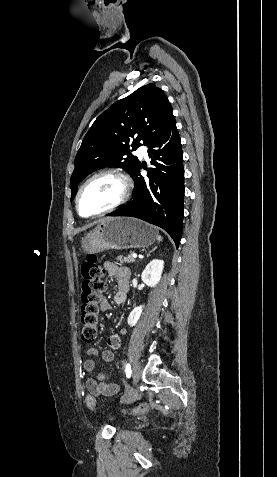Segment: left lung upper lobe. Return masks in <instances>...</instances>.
Instances as JSON below:
<instances>
[{
	"label": "left lung upper lobe",
	"mask_w": 277,
	"mask_h": 477,
	"mask_svg": "<svg viewBox=\"0 0 277 477\" xmlns=\"http://www.w3.org/2000/svg\"><path fill=\"white\" fill-rule=\"evenodd\" d=\"M173 117L167 96L153 83L140 87L103 112L85 135L75 157L71 201L78 183L98 168L120 167L133 176L140 161L129 153L130 138L133 150L141 142L146 145Z\"/></svg>",
	"instance_id": "1"
}]
</instances>
